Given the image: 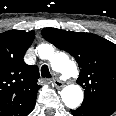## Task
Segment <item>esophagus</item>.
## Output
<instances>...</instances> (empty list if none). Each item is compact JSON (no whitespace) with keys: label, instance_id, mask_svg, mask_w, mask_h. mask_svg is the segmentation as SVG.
Returning a JSON list of instances; mask_svg holds the SVG:
<instances>
[{"label":"esophagus","instance_id":"34e87169","mask_svg":"<svg viewBox=\"0 0 116 116\" xmlns=\"http://www.w3.org/2000/svg\"><path fill=\"white\" fill-rule=\"evenodd\" d=\"M52 84H53L55 87H57V88H62V87H64V83H63L60 79H58V78H53V79H52Z\"/></svg>","mask_w":116,"mask_h":116}]
</instances>
